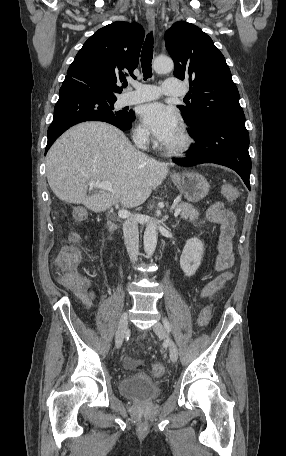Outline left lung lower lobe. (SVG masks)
Instances as JSON below:
<instances>
[{
    "label": "left lung lower lobe",
    "instance_id": "1",
    "mask_svg": "<svg viewBox=\"0 0 286 456\" xmlns=\"http://www.w3.org/2000/svg\"><path fill=\"white\" fill-rule=\"evenodd\" d=\"M196 140L188 156L173 159L179 165L216 163L236 171L250 190L251 159L248 153L249 134L245 124L228 120H208L189 131Z\"/></svg>",
    "mask_w": 286,
    "mask_h": 456
}]
</instances>
